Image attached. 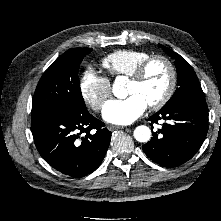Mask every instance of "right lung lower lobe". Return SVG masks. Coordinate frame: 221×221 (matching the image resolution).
Instances as JSON below:
<instances>
[{
	"label": "right lung lower lobe",
	"instance_id": "right-lung-lower-lobe-1",
	"mask_svg": "<svg viewBox=\"0 0 221 221\" xmlns=\"http://www.w3.org/2000/svg\"><path fill=\"white\" fill-rule=\"evenodd\" d=\"M87 109H62L32 117L31 130L43 159L63 174L83 177L102 162L111 132ZM95 129L94 134L90 133Z\"/></svg>",
	"mask_w": 221,
	"mask_h": 221
}]
</instances>
